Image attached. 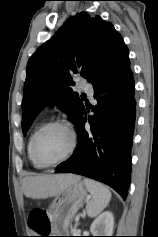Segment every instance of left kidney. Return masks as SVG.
Here are the masks:
<instances>
[{"label": "left kidney", "mask_w": 158, "mask_h": 237, "mask_svg": "<svg viewBox=\"0 0 158 237\" xmlns=\"http://www.w3.org/2000/svg\"><path fill=\"white\" fill-rule=\"evenodd\" d=\"M114 229V217L109 211L100 214L92 223L90 232L93 236H112Z\"/></svg>", "instance_id": "1"}]
</instances>
